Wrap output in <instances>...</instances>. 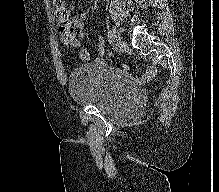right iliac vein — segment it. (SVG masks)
I'll return each mask as SVG.
<instances>
[{
    "mask_svg": "<svg viewBox=\"0 0 219 192\" xmlns=\"http://www.w3.org/2000/svg\"><path fill=\"white\" fill-rule=\"evenodd\" d=\"M112 33H113L114 45L116 48H119L121 46V43H122L121 36L116 28H113Z\"/></svg>",
    "mask_w": 219,
    "mask_h": 192,
    "instance_id": "63e3f726",
    "label": "right iliac vein"
}]
</instances>
